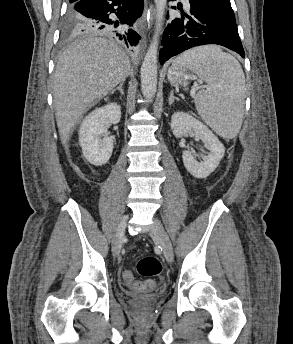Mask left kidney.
<instances>
[{"mask_svg": "<svg viewBox=\"0 0 293 344\" xmlns=\"http://www.w3.org/2000/svg\"><path fill=\"white\" fill-rule=\"evenodd\" d=\"M171 129L176 138L193 131L209 149L203 161H197L190 151H183V163L187 171L198 179L208 177L219 165L225 154V147L213 132L200 120L185 112H175L171 117Z\"/></svg>", "mask_w": 293, "mask_h": 344, "instance_id": "obj_1", "label": "left kidney"}]
</instances>
